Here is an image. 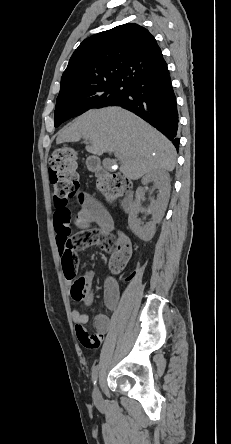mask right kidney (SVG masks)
<instances>
[{
  "label": "right kidney",
  "instance_id": "1",
  "mask_svg": "<svg viewBox=\"0 0 231 444\" xmlns=\"http://www.w3.org/2000/svg\"><path fill=\"white\" fill-rule=\"evenodd\" d=\"M142 185H147L154 182L155 187L158 188V195L156 200H152L148 209L152 213V221L145 225L143 221L138 218L141 209V198L144 195V188L139 187L136 191V199L133 202L129 212V226L132 232L141 240L149 241L155 234L156 224L160 223L170 196V176L166 171L155 170L147 173L142 178Z\"/></svg>",
  "mask_w": 231,
  "mask_h": 444
}]
</instances>
